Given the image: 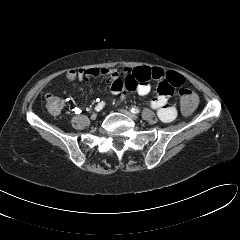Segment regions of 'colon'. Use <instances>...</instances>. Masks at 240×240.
I'll return each mask as SVG.
<instances>
[{
    "label": "colon",
    "mask_w": 240,
    "mask_h": 240,
    "mask_svg": "<svg viewBox=\"0 0 240 240\" xmlns=\"http://www.w3.org/2000/svg\"><path fill=\"white\" fill-rule=\"evenodd\" d=\"M179 95L182 112L185 115L191 114L198 104V96L188 88H181ZM45 107L51 115H58L63 108V100L57 95L47 94Z\"/></svg>",
    "instance_id": "1"
}]
</instances>
